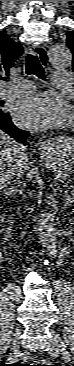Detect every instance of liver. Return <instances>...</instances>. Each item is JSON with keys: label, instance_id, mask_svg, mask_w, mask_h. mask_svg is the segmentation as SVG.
<instances>
[{"label": "liver", "instance_id": "1", "mask_svg": "<svg viewBox=\"0 0 74 366\" xmlns=\"http://www.w3.org/2000/svg\"><path fill=\"white\" fill-rule=\"evenodd\" d=\"M25 154L22 170L27 178L32 179L36 174L33 161L26 152V147L9 135L0 132V188H4L20 170V156Z\"/></svg>", "mask_w": 74, "mask_h": 366}]
</instances>
